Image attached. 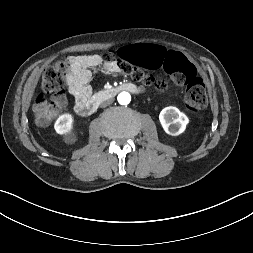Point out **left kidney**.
<instances>
[{
    "mask_svg": "<svg viewBox=\"0 0 253 253\" xmlns=\"http://www.w3.org/2000/svg\"><path fill=\"white\" fill-rule=\"evenodd\" d=\"M159 121L168 135L178 136L185 131L189 118L177 107L169 106L162 109Z\"/></svg>",
    "mask_w": 253,
    "mask_h": 253,
    "instance_id": "5707ae66",
    "label": "left kidney"
}]
</instances>
